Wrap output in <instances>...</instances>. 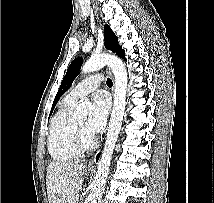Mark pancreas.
Returning <instances> with one entry per match:
<instances>
[{"instance_id": "1", "label": "pancreas", "mask_w": 214, "mask_h": 203, "mask_svg": "<svg viewBox=\"0 0 214 203\" xmlns=\"http://www.w3.org/2000/svg\"><path fill=\"white\" fill-rule=\"evenodd\" d=\"M67 203H78V202H77V197H72V198H70V199L67 201Z\"/></svg>"}]
</instances>
